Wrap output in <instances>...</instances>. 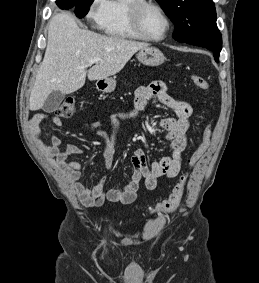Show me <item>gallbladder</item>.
I'll list each match as a JSON object with an SVG mask.
<instances>
[{
    "label": "gallbladder",
    "mask_w": 259,
    "mask_h": 283,
    "mask_svg": "<svg viewBox=\"0 0 259 283\" xmlns=\"http://www.w3.org/2000/svg\"><path fill=\"white\" fill-rule=\"evenodd\" d=\"M65 98V94L60 91H53L46 99L42 106V110L47 113H51L56 111L63 99Z\"/></svg>",
    "instance_id": "gallbladder-1"
}]
</instances>
